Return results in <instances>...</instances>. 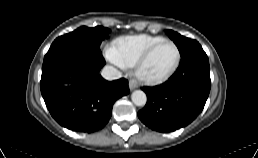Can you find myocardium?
Segmentation results:
<instances>
[{
	"label": "myocardium",
	"mask_w": 258,
	"mask_h": 158,
	"mask_svg": "<svg viewBox=\"0 0 258 158\" xmlns=\"http://www.w3.org/2000/svg\"><path fill=\"white\" fill-rule=\"evenodd\" d=\"M164 43H171L175 49H176V53H177V57L175 60V63L173 64V66L164 74L160 75V76H149L147 74L144 73L143 68L144 65L146 64V62L148 61V59L150 58V56L154 53V51L161 45ZM181 62V52L180 49L178 47V45L170 39H162L161 41H159L158 43L154 44L152 47H150L144 54L143 56L138 60V62L135 65V72L137 77L147 83V84H160L163 83L165 81H167L178 69L179 65Z\"/></svg>",
	"instance_id": "f54148a6"
}]
</instances>
